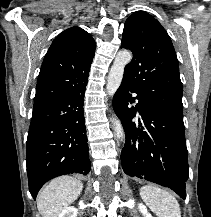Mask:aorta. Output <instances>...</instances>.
Wrapping results in <instances>:
<instances>
[{
  "label": "aorta",
  "instance_id": "obj_1",
  "mask_svg": "<svg viewBox=\"0 0 211 217\" xmlns=\"http://www.w3.org/2000/svg\"><path fill=\"white\" fill-rule=\"evenodd\" d=\"M131 59V52L127 50H121L118 52L108 75L106 89L109 96H113L119 88L123 78L124 68ZM112 124L116 137L123 140L125 136L121 122L117 118H113Z\"/></svg>",
  "mask_w": 211,
  "mask_h": 217
}]
</instances>
